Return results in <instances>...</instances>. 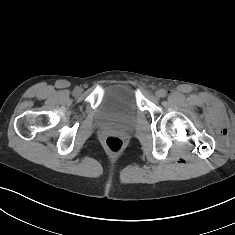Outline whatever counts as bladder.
<instances>
[{
  "label": "bladder",
  "mask_w": 235,
  "mask_h": 235,
  "mask_svg": "<svg viewBox=\"0 0 235 235\" xmlns=\"http://www.w3.org/2000/svg\"><path fill=\"white\" fill-rule=\"evenodd\" d=\"M138 106L133 92L124 86L109 88L95 110L102 127H128L137 117Z\"/></svg>",
  "instance_id": "obj_1"
}]
</instances>
